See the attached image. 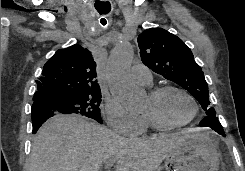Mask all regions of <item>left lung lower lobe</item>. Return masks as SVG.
Here are the masks:
<instances>
[{
  "label": "left lung lower lobe",
  "instance_id": "obj_1",
  "mask_svg": "<svg viewBox=\"0 0 245 171\" xmlns=\"http://www.w3.org/2000/svg\"><path fill=\"white\" fill-rule=\"evenodd\" d=\"M199 126L201 127H210L217 133H219L222 136H225L223 127L218 121L217 117H212V116H206L200 123Z\"/></svg>",
  "mask_w": 245,
  "mask_h": 171
}]
</instances>
